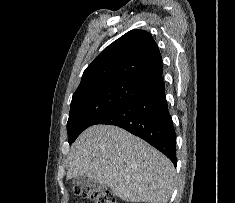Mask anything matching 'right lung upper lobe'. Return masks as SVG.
Listing matches in <instances>:
<instances>
[{
    "label": "right lung upper lobe",
    "mask_w": 235,
    "mask_h": 203,
    "mask_svg": "<svg viewBox=\"0 0 235 203\" xmlns=\"http://www.w3.org/2000/svg\"><path fill=\"white\" fill-rule=\"evenodd\" d=\"M162 79V57L152 36L131 30L103 50L83 73L77 90L109 81L150 86Z\"/></svg>",
    "instance_id": "1"
}]
</instances>
